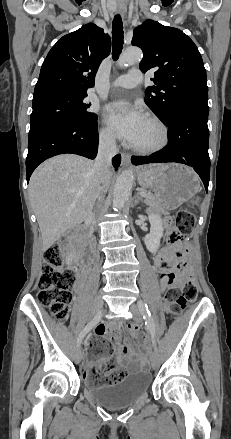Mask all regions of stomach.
Returning <instances> with one entry per match:
<instances>
[{"label": "stomach", "instance_id": "stomach-1", "mask_svg": "<svg viewBox=\"0 0 231 439\" xmlns=\"http://www.w3.org/2000/svg\"><path fill=\"white\" fill-rule=\"evenodd\" d=\"M139 184L151 189L162 210H173L193 198L201 189L198 175L180 164H161L141 168Z\"/></svg>", "mask_w": 231, "mask_h": 439}]
</instances>
